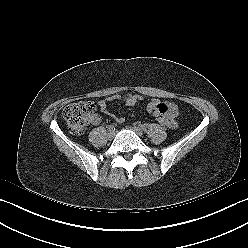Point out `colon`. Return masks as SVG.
<instances>
[{"instance_id": "5ec220e1", "label": "colon", "mask_w": 248, "mask_h": 248, "mask_svg": "<svg viewBox=\"0 0 248 248\" xmlns=\"http://www.w3.org/2000/svg\"><path fill=\"white\" fill-rule=\"evenodd\" d=\"M95 111V105L90 101H80L67 105L63 110V118L73 134H82L90 123ZM157 122L168 127L169 121L164 116H158Z\"/></svg>"}]
</instances>
